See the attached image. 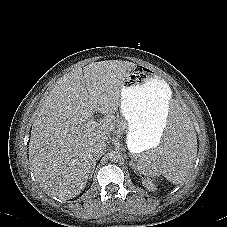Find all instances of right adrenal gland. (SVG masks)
<instances>
[{
    "instance_id": "right-adrenal-gland-1",
    "label": "right adrenal gland",
    "mask_w": 227,
    "mask_h": 227,
    "mask_svg": "<svg viewBox=\"0 0 227 227\" xmlns=\"http://www.w3.org/2000/svg\"><path fill=\"white\" fill-rule=\"evenodd\" d=\"M99 160V158H94L93 160V168H92V174L94 173L95 167H96V161Z\"/></svg>"
}]
</instances>
